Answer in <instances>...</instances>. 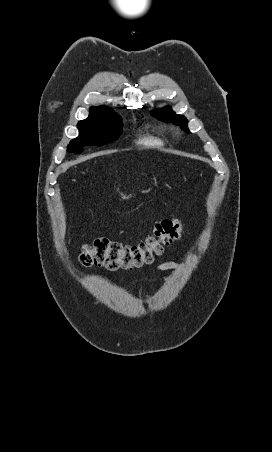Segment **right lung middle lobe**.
Here are the masks:
<instances>
[{"label":"right lung middle lobe","mask_w":272,"mask_h":452,"mask_svg":"<svg viewBox=\"0 0 272 452\" xmlns=\"http://www.w3.org/2000/svg\"><path fill=\"white\" fill-rule=\"evenodd\" d=\"M79 136L71 140L67 146L68 152L80 154L83 146H101L115 141L122 131L121 118L112 110L107 113L79 122Z\"/></svg>","instance_id":"dd1d6c3e"}]
</instances>
